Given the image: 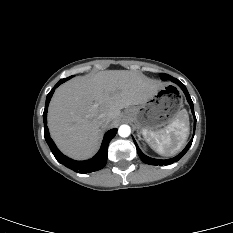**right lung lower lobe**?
Returning <instances> with one entry per match:
<instances>
[{"instance_id":"right-lung-lower-lobe-1","label":"right lung lower lobe","mask_w":233,"mask_h":233,"mask_svg":"<svg viewBox=\"0 0 233 233\" xmlns=\"http://www.w3.org/2000/svg\"><path fill=\"white\" fill-rule=\"evenodd\" d=\"M65 81H67V78L61 79L54 86V88L48 93V95L46 97L45 109H44V113H43L45 140H46L49 148L51 149L54 157L57 159V161L59 163H62L66 167H68V168H70V169H72L74 171H77L79 173H91V172H94V171H98V170L102 169L105 166L106 162H107L108 144L112 140V138H114V136L116 135V133H117L116 128L109 130L104 135V139H103L101 148L98 151V153L92 159L85 160V161H75V160H72V159L66 157L65 155H63L58 150V148L56 147L55 143L53 142V140L51 139V137L49 135V130H48V127H47V109H48V105H49L50 99H51L55 89Z\"/></svg>"}]
</instances>
